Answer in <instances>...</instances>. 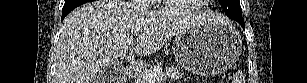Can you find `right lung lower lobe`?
<instances>
[{
  "instance_id": "right-lung-lower-lobe-1",
  "label": "right lung lower lobe",
  "mask_w": 307,
  "mask_h": 83,
  "mask_svg": "<svg viewBox=\"0 0 307 83\" xmlns=\"http://www.w3.org/2000/svg\"><path fill=\"white\" fill-rule=\"evenodd\" d=\"M89 0H66L62 10V19L77 6L87 3Z\"/></svg>"
}]
</instances>
